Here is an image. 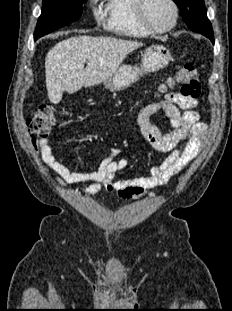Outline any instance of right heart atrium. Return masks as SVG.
Segmentation results:
<instances>
[{
    "label": "right heart atrium",
    "mask_w": 232,
    "mask_h": 311,
    "mask_svg": "<svg viewBox=\"0 0 232 311\" xmlns=\"http://www.w3.org/2000/svg\"><path fill=\"white\" fill-rule=\"evenodd\" d=\"M90 1H91L92 4H94L97 0H90ZM95 17H96L97 19H99V18H100V13L97 12V11H95Z\"/></svg>",
    "instance_id": "obj_1"
}]
</instances>
